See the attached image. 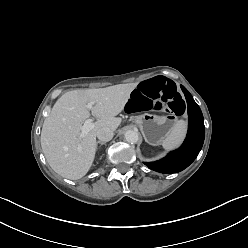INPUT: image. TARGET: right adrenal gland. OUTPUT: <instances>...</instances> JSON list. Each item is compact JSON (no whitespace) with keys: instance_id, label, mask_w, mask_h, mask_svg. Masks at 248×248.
<instances>
[{"instance_id":"1","label":"right adrenal gland","mask_w":248,"mask_h":248,"mask_svg":"<svg viewBox=\"0 0 248 248\" xmlns=\"http://www.w3.org/2000/svg\"><path fill=\"white\" fill-rule=\"evenodd\" d=\"M98 144H100V145H105L106 142L98 141V142H97V145H98Z\"/></svg>"}]
</instances>
